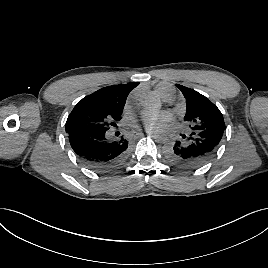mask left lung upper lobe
Here are the masks:
<instances>
[{
	"label": "left lung upper lobe",
	"instance_id": "1",
	"mask_svg": "<svg viewBox=\"0 0 268 268\" xmlns=\"http://www.w3.org/2000/svg\"><path fill=\"white\" fill-rule=\"evenodd\" d=\"M183 93L187 110L184 121L187 122L192 132L204 130H225L222 113L208 98L197 91L176 84Z\"/></svg>",
	"mask_w": 268,
	"mask_h": 268
}]
</instances>
